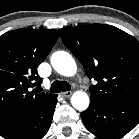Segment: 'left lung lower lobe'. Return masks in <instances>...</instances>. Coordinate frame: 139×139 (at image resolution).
I'll return each mask as SVG.
<instances>
[{
    "label": "left lung lower lobe",
    "mask_w": 139,
    "mask_h": 139,
    "mask_svg": "<svg viewBox=\"0 0 139 139\" xmlns=\"http://www.w3.org/2000/svg\"><path fill=\"white\" fill-rule=\"evenodd\" d=\"M81 118L86 128L98 137H121L139 122V97L111 104L90 99V106L81 113Z\"/></svg>",
    "instance_id": "left-lung-lower-lobe-1"
}]
</instances>
